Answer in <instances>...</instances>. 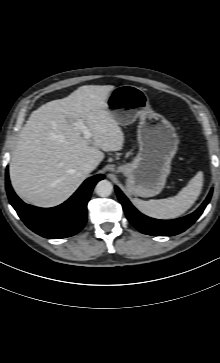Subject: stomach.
Here are the masks:
<instances>
[{
    "mask_svg": "<svg viewBox=\"0 0 220 363\" xmlns=\"http://www.w3.org/2000/svg\"><path fill=\"white\" fill-rule=\"evenodd\" d=\"M106 105L119 125H129L139 118V152L132 162L117 167V171L127 178L128 192L140 197L159 194L165 187L178 147L174 127L151 109L143 89L133 85L114 88Z\"/></svg>",
    "mask_w": 220,
    "mask_h": 363,
    "instance_id": "obj_1",
    "label": "stomach"
}]
</instances>
